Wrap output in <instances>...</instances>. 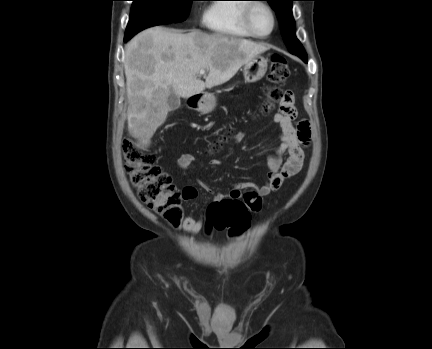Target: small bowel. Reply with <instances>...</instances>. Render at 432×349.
<instances>
[{
	"mask_svg": "<svg viewBox=\"0 0 432 349\" xmlns=\"http://www.w3.org/2000/svg\"><path fill=\"white\" fill-rule=\"evenodd\" d=\"M297 112L290 102H283L281 109L273 115V122L279 126L280 145L275 154L267 158V182L258 186L253 182H243L234 185L227 195L215 194V203L223 199L241 200L246 203L251 212H258L262 207L263 197L277 191L283 184L284 180L295 176L300 172L304 162V148L309 144L311 131L309 123L302 120L293 124ZM244 139V134L239 133L234 142L238 143ZM287 158L283 160V156ZM195 160L191 154H182L177 159V166L181 170L187 169ZM218 159L210 161L211 165H219ZM202 188L209 193L212 190L205 184ZM185 201L194 200L198 196V190L194 186H187L182 193ZM202 220L194 216H188L182 221V229L189 234L195 235L202 228Z\"/></svg>",
	"mask_w": 432,
	"mask_h": 349,
	"instance_id": "obj_1",
	"label": "small bowel"
}]
</instances>
